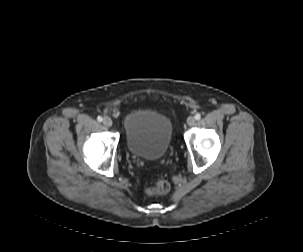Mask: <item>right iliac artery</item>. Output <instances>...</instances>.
I'll use <instances>...</instances> for the list:
<instances>
[{
	"label": "right iliac artery",
	"mask_w": 303,
	"mask_h": 252,
	"mask_svg": "<svg viewBox=\"0 0 303 252\" xmlns=\"http://www.w3.org/2000/svg\"><path fill=\"white\" fill-rule=\"evenodd\" d=\"M97 120H98L99 122H102V121H103V118H102L101 116H98V117H97Z\"/></svg>",
	"instance_id": "right-iliac-artery-1"
}]
</instances>
